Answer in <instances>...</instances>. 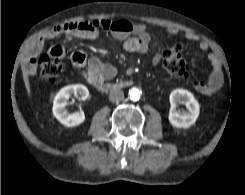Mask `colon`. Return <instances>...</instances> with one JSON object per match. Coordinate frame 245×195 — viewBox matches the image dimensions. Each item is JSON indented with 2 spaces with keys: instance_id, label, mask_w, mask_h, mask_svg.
I'll return each instance as SVG.
<instances>
[{
  "instance_id": "obj_1",
  "label": "colon",
  "mask_w": 245,
  "mask_h": 195,
  "mask_svg": "<svg viewBox=\"0 0 245 195\" xmlns=\"http://www.w3.org/2000/svg\"><path fill=\"white\" fill-rule=\"evenodd\" d=\"M39 67L41 80L54 83L62 79L65 63L62 57L45 55L40 58ZM164 67L172 77H182L186 74V62L180 43H175L164 53Z\"/></svg>"
}]
</instances>
